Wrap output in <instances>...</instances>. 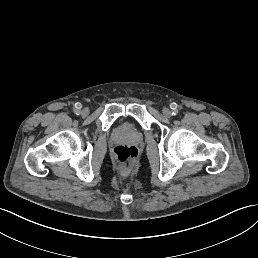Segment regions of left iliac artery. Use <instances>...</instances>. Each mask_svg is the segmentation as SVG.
Returning a JSON list of instances; mask_svg holds the SVG:
<instances>
[{"mask_svg": "<svg viewBox=\"0 0 258 258\" xmlns=\"http://www.w3.org/2000/svg\"><path fill=\"white\" fill-rule=\"evenodd\" d=\"M178 114V110H174L173 112H172V115L173 116H176Z\"/></svg>", "mask_w": 258, "mask_h": 258, "instance_id": "left-iliac-artery-1", "label": "left iliac artery"}]
</instances>
